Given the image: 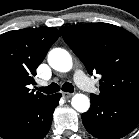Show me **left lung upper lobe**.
<instances>
[{"instance_id": "1", "label": "left lung upper lobe", "mask_w": 139, "mask_h": 139, "mask_svg": "<svg viewBox=\"0 0 139 139\" xmlns=\"http://www.w3.org/2000/svg\"><path fill=\"white\" fill-rule=\"evenodd\" d=\"M60 31L88 73L101 75L96 96L111 101L139 93L137 37L108 23L63 26Z\"/></svg>"}]
</instances>
